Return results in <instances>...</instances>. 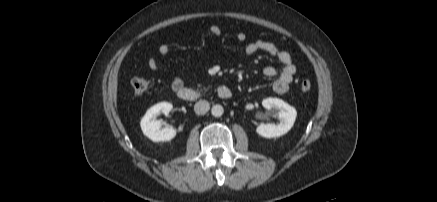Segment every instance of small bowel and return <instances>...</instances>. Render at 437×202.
I'll return each instance as SVG.
<instances>
[{
	"instance_id": "c3829d8e",
	"label": "small bowel",
	"mask_w": 437,
	"mask_h": 202,
	"mask_svg": "<svg viewBox=\"0 0 437 202\" xmlns=\"http://www.w3.org/2000/svg\"><path fill=\"white\" fill-rule=\"evenodd\" d=\"M209 31L215 37H219L222 34L221 29L216 25L211 26ZM236 40L238 42H244L246 40L245 33H237ZM258 51L265 52L275 57L280 62V69L274 66H267L263 69V74L267 77H276L273 82V90L276 93H286L289 90L297 70L291 55L287 51L278 48L274 43L261 38L248 42L244 49L246 56H251ZM169 52L170 46L167 43L161 44L158 48V53L161 56H166L169 54ZM147 66L152 72H159L161 70V66L154 56H149L147 60ZM182 87H184L182 78L179 76L173 77L171 81V89L174 92H177Z\"/></svg>"
}]
</instances>
